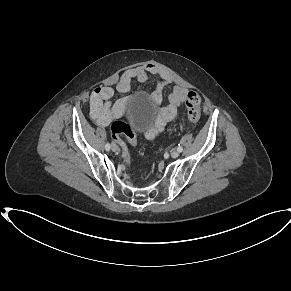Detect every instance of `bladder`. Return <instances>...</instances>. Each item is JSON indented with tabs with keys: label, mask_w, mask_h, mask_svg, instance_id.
I'll return each instance as SVG.
<instances>
[{
	"label": "bladder",
	"mask_w": 291,
	"mask_h": 291,
	"mask_svg": "<svg viewBox=\"0 0 291 291\" xmlns=\"http://www.w3.org/2000/svg\"><path fill=\"white\" fill-rule=\"evenodd\" d=\"M143 101V102H148L149 98L147 96L144 95H136L133 97V101ZM129 116H128V121H129V125L138 128L140 131L145 132L149 126L148 123L146 122H142L141 118L134 112H132V110H128Z\"/></svg>",
	"instance_id": "bladder-1"
}]
</instances>
